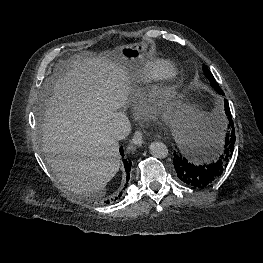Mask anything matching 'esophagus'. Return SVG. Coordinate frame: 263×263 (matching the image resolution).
Wrapping results in <instances>:
<instances>
[{"mask_svg": "<svg viewBox=\"0 0 263 263\" xmlns=\"http://www.w3.org/2000/svg\"><path fill=\"white\" fill-rule=\"evenodd\" d=\"M132 143L135 146H141L142 145V143H143V133H142V131H136L134 133V136L132 138Z\"/></svg>", "mask_w": 263, "mask_h": 263, "instance_id": "obj_1", "label": "esophagus"}]
</instances>
